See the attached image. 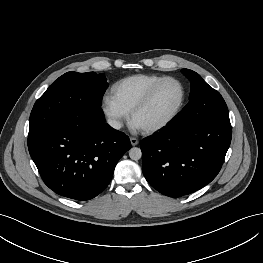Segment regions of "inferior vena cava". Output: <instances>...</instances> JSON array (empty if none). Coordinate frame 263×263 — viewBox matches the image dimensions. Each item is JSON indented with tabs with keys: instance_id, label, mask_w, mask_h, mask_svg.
<instances>
[{
	"instance_id": "1",
	"label": "inferior vena cava",
	"mask_w": 263,
	"mask_h": 263,
	"mask_svg": "<svg viewBox=\"0 0 263 263\" xmlns=\"http://www.w3.org/2000/svg\"><path fill=\"white\" fill-rule=\"evenodd\" d=\"M108 124L114 129H120L122 127V123L115 119H109Z\"/></svg>"
}]
</instances>
